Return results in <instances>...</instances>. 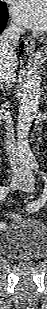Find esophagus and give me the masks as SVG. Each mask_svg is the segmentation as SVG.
Listing matches in <instances>:
<instances>
[{"mask_svg": "<svg viewBox=\"0 0 47 309\" xmlns=\"http://www.w3.org/2000/svg\"><path fill=\"white\" fill-rule=\"evenodd\" d=\"M35 50V42L31 37H27L25 40V51L27 54H32Z\"/></svg>", "mask_w": 47, "mask_h": 309, "instance_id": "esophagus-1", "label": "esophagus"}]
</instances>
